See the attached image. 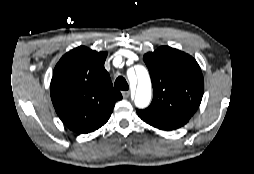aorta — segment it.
Here are the masks:
<instances>
[{"label": "aorta", "mask_w": 254, "mask_h": 174, "mask_svg": "<svg viewBox=\"0 0 254 174\" xmlns=\"http://www.w3.org/2000/svg\"><path fill=\"white\" fill-rule=\"evenodd\" d=\"M135 79L137 82L136 93H135V105L138 108H146L151 101L152 90L151 80L148 71L144 66L137 65L135 67ZM128 77L130 80L133 79V74L129 73Z\"/></svg>", "instance_id": "1"}]
</instances>
